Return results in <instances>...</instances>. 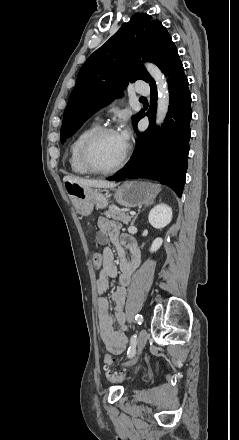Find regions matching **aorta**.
<instances>
[{
  "mask_svg": "<svg viewBox=\"0 0 239 440\" xmlns=\"http://www.w3.org/2000/svg\"><path fill=\"white\" fill-rule=\"evenodd\" d=\"M145 68L147 72H149L150 76L154 78L157 82L158 88V102H157V116H156V124H162L169 108V94L166 86V82L157 66L154 64H145Z\"/></svg>",
  "mask_w": 239,
  "mask_h": 440,
  "instance_id": "1",
  "label": "aorta"
}]
</instances>
